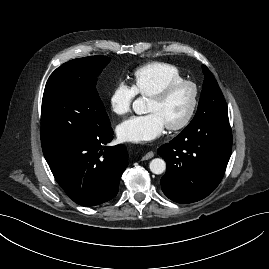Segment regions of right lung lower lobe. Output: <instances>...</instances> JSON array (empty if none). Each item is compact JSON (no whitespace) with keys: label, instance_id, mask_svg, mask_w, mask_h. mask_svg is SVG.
Masks as SVG:
<instances>
[{"label":"right lung lower lobe","instance_id":"obj_1","mask_svg":"<svg viewBox=\"0 0 269 269\" xmlns=\"http://www.w3.org/2000/svg\"><path fill=\"white\" fill-rule=\"evenodd\" d=\"M112 139L110 126L70 144L43 150L56 181L77 204L95 206L117 195L128 153L122 144L105 146Z\"/></svg>","mask_w":269,"mask_h":269}]
</instances>
